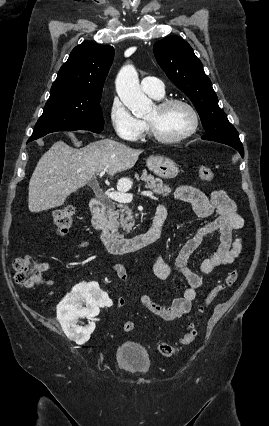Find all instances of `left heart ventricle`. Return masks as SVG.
I'll use <instances>...</instances> for the list:
<instances>
[{"mask_svg": "<svg viewBox=\"0 0 269 426\" xmlns=\"http://www.w3.org/2000/svg\"><path fill=\"white\" fill-rule=\"evenodd\" d=\"M145 119L166 137H176L187 132L193 123L191 113L182 105H172L163 111L155 106Z\"/></svg>", "mask_w": 269, "mask_h": 426, "instance_id": "obj_1", "label": "left heart ventricle"}]
</instances>
